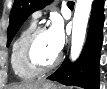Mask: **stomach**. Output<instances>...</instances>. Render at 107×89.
Instances as JSON below:
<instances>
[{
  "instance_id": "obj_1",
  "label": "stomach",
  "mask_w": 107,
  "mask_h": 89,
  "mask_svg": "<svg viewBox=\"0 0 107 89\" xmlns=\"http://www.w3.org/2000/svg\"><path fill=\"white\" fill-rule=\"evenodd\" d=\"M40 89H59V87L55 84L49 83V84L43 85Z\"/></svg>"
}]
</instances>
